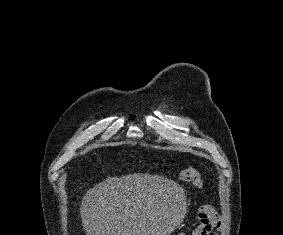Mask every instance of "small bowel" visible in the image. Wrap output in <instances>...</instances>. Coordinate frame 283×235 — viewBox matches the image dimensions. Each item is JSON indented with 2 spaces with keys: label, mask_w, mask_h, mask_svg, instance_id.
Instances as JSON below:
<instances>
[{
  "label": "small bowel",
  "mask_w": 283,
  "mask_h": 235,
  "mask_svg": "<svg viewBox=\"0 0 283 235\" xmlns=\"http://www.w3.org/2000/svg\"><path fill=\"white\" fill-rule=\"evenodd\" d=\"M197 219L198 226L192 235H217L214 230L220 225V221L217 212L211 205H202L198 210Z\"/></svg>",
  "instance_id": "obj_1"
}]
</instances>
